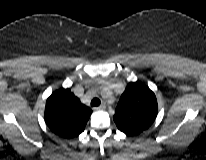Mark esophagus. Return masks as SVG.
<instances>
[{
	"label": "esophagus",
	"mask_w": 206,
	"mask_h": 160,
	"mask_svg": "<svg viewBox=\"0 0 206 160\" xmlns=\"http://www.w3.org/2000/svg\"><path fill=\"white\" fill-rule=\"evenodd\" d=\"M106 108V104L105 103H101V105L99 107L94 108L95 110H103Z\"/></svg>",
	"instance_id": "1"
}]
</instances>
